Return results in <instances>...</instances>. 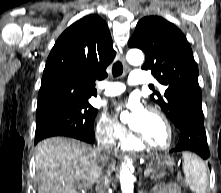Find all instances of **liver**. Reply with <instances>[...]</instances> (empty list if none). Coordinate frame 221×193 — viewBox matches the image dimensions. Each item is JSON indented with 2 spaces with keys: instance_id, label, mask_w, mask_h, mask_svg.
I'll list each match as a JSON object with an SVG mask.
<instances>
[{
  "instance_id": "obj_1",
  "label": "liver",
  "mask_w": 221,
  "mask_h": 193,
  "mask_svg": "<svg viewBox=\"0 0 221 193\" xmlns=\"http://www.w3.org/2000/svg\"><path fill=\"white\" fill-rule=\"evenodd\" d=\"M112 153L106 163L97 147L64 137H52L36 146L38 193H80L97 182L98 173L115 169Z\"/></svg>"
}]
</instances>
